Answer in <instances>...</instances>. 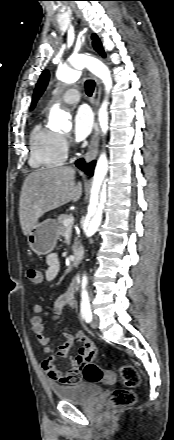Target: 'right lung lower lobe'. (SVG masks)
Listing matches in <instances>:
<instances>
[{
  "label": "right lung lower lobe",
  "mask_w": 174,
  "mask_h": 440,
  "mask_svg": "<svg viewBox=\"0 0 174 440\" xmlns=\"http://www.w3.org/2000/svg\"><path fill=\"white\" fill-rule=\"evenodd\" d=\"M75 164H76V166H77L78 168H80L81 170L86 171V173H87L88 175H90V176L93 175V170H94V166H95V161H93V162H91V163H89V164H86V163L84 162V159H79V160L76 161Z\"/></svg>",
  "instance_id": "1"
}]
</instances>
